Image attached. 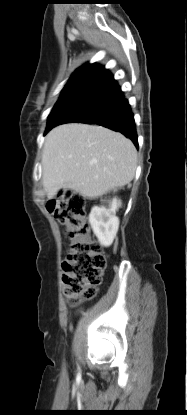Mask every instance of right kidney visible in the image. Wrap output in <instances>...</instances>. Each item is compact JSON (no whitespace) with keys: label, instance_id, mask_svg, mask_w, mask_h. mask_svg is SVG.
I'll return each instance as SVG.
<instances>
[{"label":"right kidney","instance_id":"1","mask_svg":"<svg viewBox=\"0 0 187 415\" xmlns=\"http://www.w3.org/2000/svg\"><path fill=\"white\" fill-rule=\"evenodd\" d=\"M120 205V201L116 198L112 200L109 208L105 206H95L89 215V222L94 234L98 238L101 245L108 247L112 244L118 228L119 218L115 215Z\"/></svg>","mask_w":187,"mask_h":415}]
</instances>
